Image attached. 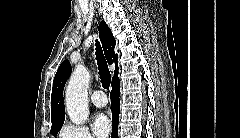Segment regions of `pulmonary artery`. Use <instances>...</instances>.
Instances as JSON below:
<instances>
[{"label":"pulmonary artery","mask_w":240,"mask_h":138,"mask_svg":"<svg viewBox=\"0 0 240 138\" xmlns=\"http://www.w3.org/2000/svg\"><path fill=\"white\" fill-rule=\"evenodd\" d=\"M92 103L98 108L105 107L107 105V99L103 91L97 90L91 96Z\"/></svg>","instance_id":"obj_1"}]
</instances>
